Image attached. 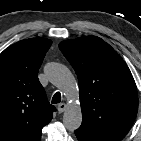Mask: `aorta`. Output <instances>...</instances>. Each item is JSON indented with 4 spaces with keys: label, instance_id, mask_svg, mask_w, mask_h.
I'll return each mask as SVG.
<instances>
[{
    "label": "aorta",
    "instance_id": "762f6f07",
    "mask_svg": "<svg viewBox=\"0 0 141 141\" xmlns=\"http://www.w3.org/2000/svg\"><path fill=\"white\" fill-rule=\"evenodd\" d=\"M45 73L50 82L59 88L68 100H78L79 90L71 71L63 64L50 62L45 66ZM82 111L78 102L70 103L64 114L63 124L66 129L74 131L81 126Z\"/></svg>",
    "mask_w": 141,
    "mask_h": 141
}]
</instances>
